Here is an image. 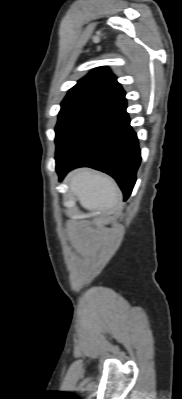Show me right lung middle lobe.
I'll return each instance as SVG.
<instances>
[{
    "mask_svg": "<svg viewBox=\"0 0 182 399\" xmlns=\"http://www.w3.org/2000/svg\"><path fill=\"white\" fill-rule=\"evenodd\" d=\"M106 105L105 102L84 96L66 97L59 112L55 128V142L58 145L64 137L82 120Z\"/></svg>",
    "mask_w": 182,
    "mask_h": 399,
    "instance_id": "obj_1",
    "label": "right lung middle lobe"
}]
</instances>
